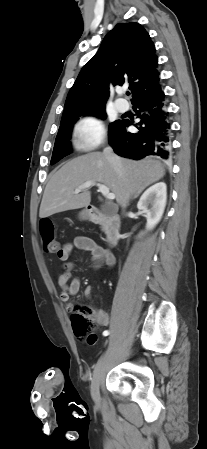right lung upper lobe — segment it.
<instances>
[{"label": "right lung upper lobe", "mask_w": 207, "mask_h": 449, "mask_svg": "<svg viewBox=\"0 0 207 449\" xmlns=\"http://www.w3.org/2000/svg\"><path fill=\"white\" fill-rule=\"evenodd\" d=\"M155 46L138 23L117 24L71 87L62 119L105 108L109 84H129L132 102L161 87Z\"/></svg>", "instance_id": "1"}]
</instances>
